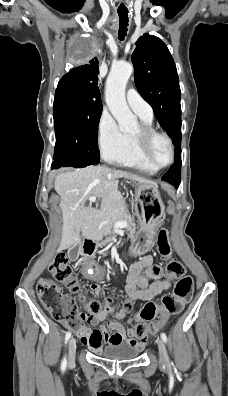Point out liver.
I'll return each mask as SVG.
<instances>
[{"instance_id":"1","label":"liver","mask_w":228,"mask_h":396,"mask_svg":"<svg viewBox=\"0 0 228 396\" xmlns=\"http://www.w3.org/2000/svg\"><path fill=\"white\" fill-rule=\"evenodd\" d=\"M119 178L153 183L129 172L103 166L77 168L56 177L54 188L61 198L59 206L63 218L59 250L78 243L81 235L100 240L105 230H109V218L119 217L125 209L122 194L118 191ZM90 196L101 199V213L85 206Z\"/></svg>"}]
</instances>
